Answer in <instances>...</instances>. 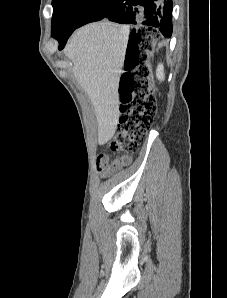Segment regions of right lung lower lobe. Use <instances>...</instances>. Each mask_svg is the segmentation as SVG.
I'll use <instances>...</instances> for the list:
<instances>
[{
	"instance_id": "obj_1",
	"label": "right lung lower lobe",
	"mask_w": 227,
	"mask_h": 298,
	"mask_svg": "<svg viewBox=\"0 0 227 298\" xmlns=\"http://www.w3.org/2000/svg\"><path fill=\"white\" fill-rule=\"evenodd\" d=\"M107 18L121 24L158 28L164 37L172 35V0H103L79 24ZM77 27V28H78ZM73 31L55 35L62 49ZM135 35L134 31L132 36Z\"/></svg>"
}]
</instances>
